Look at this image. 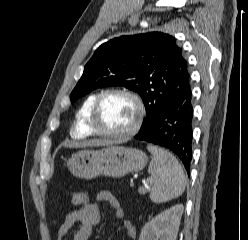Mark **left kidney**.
Returning <instances> with one entry per match:
<instances>
[{
    "label": "left kidney",
    "instance_id": "obj_1",
    "mask_svg": "<svg viewBox=\"0 0 248 240\" xmlns=\"http://www.w3.org/2000/svg\"><path fill=\"white\" fill-rule=\"evenodd\" d=\"M184 207L177 204L146 223L139 240H176Z\"/></svg>",
    "mask_w": 248,
    "mask_h": 240
}]
</instances>
